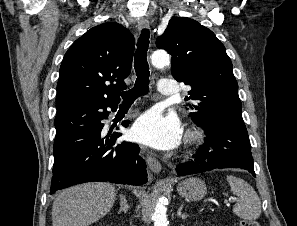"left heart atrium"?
<instances>
[{
    "label": "left heart atrium",
    "instance_id": "left-heart-atrium-1",
    "mask_svg": "<svg viewBox=\"0 0 297 226\" xmlns=\"http://www.w3.org/2000/svg\"><path fill=\"white\" fill-rule=\"evenodd\" d=\"M132 138L148 146L168 150L181 139V126L173 116H163L156 111L142 114L131 129Z\"/></svg>",
    "mask_w": 297,
    "mask_h": 226
}]
</instances>
